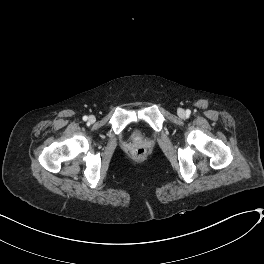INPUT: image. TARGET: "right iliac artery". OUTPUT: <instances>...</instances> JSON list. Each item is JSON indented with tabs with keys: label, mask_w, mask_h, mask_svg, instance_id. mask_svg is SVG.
Wrapping results in <instances>:
<instances>
[{
	"label": "right iliac artery",
	"mask_w": 264,
	"mask_h": 264,
	"mask_svg": "<svg viewBox=\"0 0 264 264\" xmlns=\"http://www.w3.org/2000/svg\"><path fill=\"white\" fill-rule=\"evenodd\" d=\"M88 117L87 116H83V120L87 121Z\"/></svg>",
	"instance_id": "obj_1"
}]
</instances>
